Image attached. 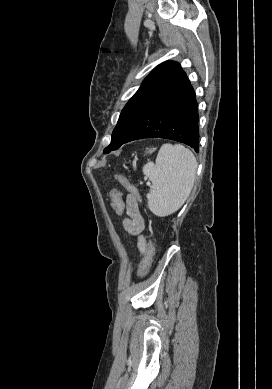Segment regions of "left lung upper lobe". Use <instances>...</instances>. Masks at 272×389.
<instances>
[{"mask_svg": "<svg viewBox=\"0 0 272 389\" xmlns=\"http://www.w3.org/2000/svg\"><path fill=\"white\" fill-rule=\"evenodd\" d=\"M182 68L179 63L166 61L158 65L144 79L142 85L123 108L113 130L111 143L104 153L118 149L141 118L151 98L174 79Z\"/></svg>", "mask_w": 272, "mask_h": 389, "instance_id": "1", "label": "left lung upper lobe"}]
</instances>
